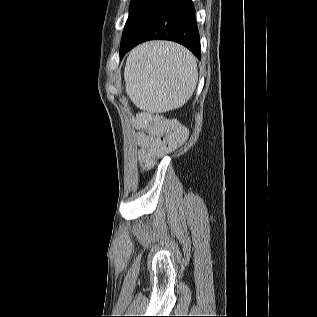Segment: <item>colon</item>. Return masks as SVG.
<instances>
[{"mask_svg":"<svg viewBox=\"0 0 317 317\" xmlns=\"http://www.w3.org/2000/svg\"><path fill=\"white\" fill-rule=\"evenodd\" d=\"M135 125L155 137L151 147L140 153L139 162L143 168L151 167L156 159L175 150L186 139V130L178 121L156 113H139Z\"/></svg>","mask_w":317,"mask_h":317,"instance_id":"obj_1","label":"colon"}]
</instances>
